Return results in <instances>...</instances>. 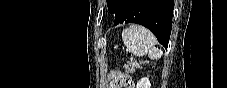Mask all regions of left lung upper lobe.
<instances>
[{"mask_svg":"<svg viewBox=\"0 0 227 88\" xmlns=\"http://www.w3.org/2000/svg\"><path fill=\"white\" fill-rule=\"evenodd\" d=\"M119 0H107L108 10L110 13H114L117 10V4Z\"/></svg>","mask_w":227,"mask_h":88,"instance_id":"left-lung-upper-lobe-1","label":"left lung upper lobe"}]
</instances>
